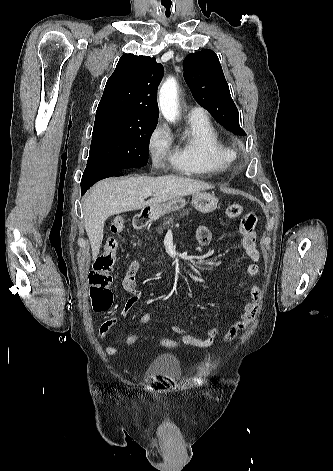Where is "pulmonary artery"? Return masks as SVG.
<instances>
[{"instance_id":"1","label":"pulmonary artery","mask_w":333,"mask_h":471,"mask_svg":"<svg viewBox=\"0 0 333 471\" xmlns=\"http://www.w3.org/2000/svg\"><path fill=\"white\" fill-rule=\"evenodd\" d=\"M205 114V111L201 107H192L189 110L188 116L189 118L199 117Z\"/></svg>"}]
</instances>
